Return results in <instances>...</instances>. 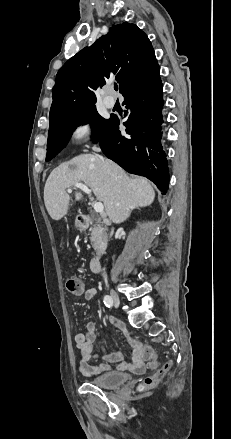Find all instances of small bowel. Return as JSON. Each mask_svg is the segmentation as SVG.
I'll return each instance as SVG.
<instances>
[{"instance_id":"obj_1","label":"small bowel","mask_w":231,"mask_h":439,"mask_svg":"<svg viewBox=\"0 0 231 439\" xmlns=\"http://www.w3.org/2000/svg\"><path fill=\"white\" fill-rule=\"evenodd\" d=\"M80 294H84L85 299L89 301L97 294V290L95 288H90ZM118 326L123 331L124 336L126 338H129V333L123 328V326ZM95 340L96 325L94 322L87 323L85 333H77L74 336V341L79 351V370L84 375H97L109 371L111 369L110 363H117L118 370H130L136 373L144 371L145 358L143 357L142 351L145 345L141 342H137L134 345L132 361L130 363H125L123 361L122 354L119 352H115L109 355H105V362L96 366L91 365L90 361L94 358L93 344Z\"/></svg>"}]
</instances>
